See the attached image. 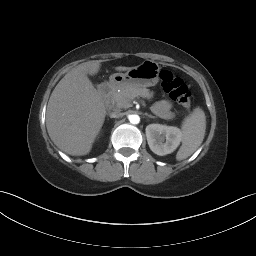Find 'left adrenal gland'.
Listing matches in <instances>:
<instances>
[{
    "mask_svg": "<svg viewBox=\"0 0 256 256\" xmlns=\"http://www.w3.org/2000/svg\"><path fill=\"white\" fill-rule=\"evenodd\" d=\"M147 117H149V118H155V116H152V115H149V114H145Z\"/></svg>",
    "mask_w": 256,
    "mask_h": 256,
    "instance_id": "a2214340",
    "label": "left adrenal gland"
}]
</instances>
